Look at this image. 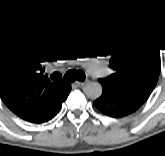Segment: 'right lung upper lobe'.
<instances>
[{"label": "right lung upper lobe", "mask_w": 165, "mask_h": 156, "mask_svg": "<svg viewBox=\"0 0 165 156\" xmlns=\"http://www.w3.org/2000/svg\"><path fill=\"white\" fill-rule=\"evenodd\" d=\"M49 32H32L0 45V97L24 120L35 118L56 105L71 88L59 73L44 74L53 57Z\"/></svg>", "instance_id": "obj_1"}]
</instances>
